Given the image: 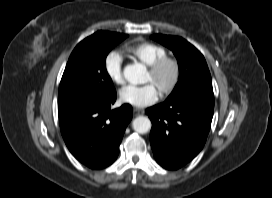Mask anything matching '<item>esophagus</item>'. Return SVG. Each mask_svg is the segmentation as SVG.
<instances>
[{"label":"esophagus","mask_w":272,"mask_h":198,"mask_svg":"<svg viewBox=\"0 0 272 198\" xmlns=\"http://www.w3.org/2000/svg\"><path fill=\"white\" fill-rule=\"evenodd\" d=\"M143 113H144V111L142 109H139V108H134L133 109L134 116H139V115H141Z\"/></svg>","instance_id":"esophagus-1"}]
</instances>
